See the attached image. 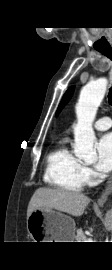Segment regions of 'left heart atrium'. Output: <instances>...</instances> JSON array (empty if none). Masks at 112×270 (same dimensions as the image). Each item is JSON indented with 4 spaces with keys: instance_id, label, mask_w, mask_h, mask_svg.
I'll use <instances>...</instances> for the list:
<instances>
[{
    "instance_id": "39dd6f15",
    "label": "left heart atrium",
    "mask_w": 112,
    "mask_h": 270,
    "mask_svg": "<svg viewBox=\"0 0 112 270\" xmlns=\"http://www.w3.org/2000/svg\"><path fill=\"white\" fill-rule=\"evenodd\" d=\"M96 168L100 172L107 173L112 170V132L101 137L97 143Z\"/></svg>"
}]
</instances>
